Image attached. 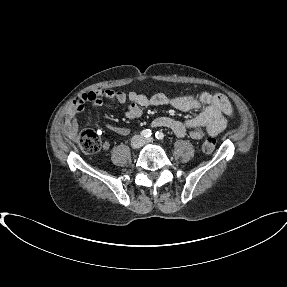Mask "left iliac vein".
I'll list each match as a JSON object with an SVG mask.
<instances>
[{
	"label": "left iliac vein",
	"mask_w": 287,
	"mask_h": 287,
	"mask_svg": "<svg viewBox=\"0 0 287 287\" xmlns=\"http://www.w3.org/2000/svg\"><path fill=\"white\" fill-rule=\"evenodd\" d=\"M153 141H154L153 138H148V139L143 140V143L147 144V143H152Z\"/></svg>",
	"instance_id": "obj_1"
}]
</instances>
